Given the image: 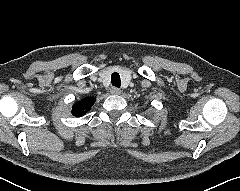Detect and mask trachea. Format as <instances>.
<instances>
[{"label": "trachea", "instance_id": "1", "mask_svg": "<svg viewBox=\"0 0 240 191\" xmlns=\"http://www.w3.org/2000/svg\"><path fill=\"white\" fill-rule=\"evenodd\" d=\"M111 82H112V85L117 87V88H120V75L117 73V72H114L112 75H111Z\"/></svg>", "mask_w": 240, "mask_h": 191}]
</instances>
